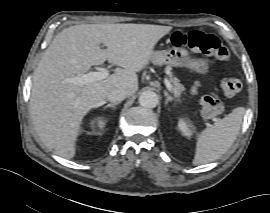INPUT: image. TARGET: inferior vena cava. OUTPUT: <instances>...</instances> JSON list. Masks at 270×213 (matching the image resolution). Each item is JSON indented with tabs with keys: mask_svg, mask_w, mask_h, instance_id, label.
Returning <instances> with one entry per match:
<instances>
[{
	"mask_svg": "<svg viewBox=\"0 0 270 213\" xmlns=\"http://www.w3.org/2000/svg\"><path fill=\"white\" fill-rule=\"evenodd\" d=\"M126 97H127L126 91L121 90V89H115V90H112L108 94L107 100L112 102V103H116V102L123 101Z\"/></svg>",
	"mask_w": 270,
	"mask_h": 213,
	"instance_id": "602c4592",
	"label": "inferior vena cava"
}]
</instances>
